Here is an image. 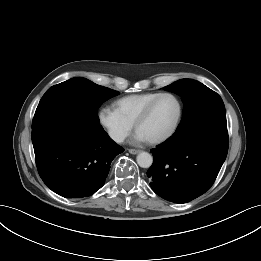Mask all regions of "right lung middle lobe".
<instances>
[{
  "instance_id": "right-lung-middle-lobe-1",
  "label": "right lung middle lobe",
  "mask_w": 261,
  "mask_h": 261,
  "mask_svg": "<svg viewBox=\"0 0 261 261\" xmlns=\"http://www.w3.org/2000/svg\"><path fill=\"white\" fill-rule=\"evenodd\" d=\"M119 92L77 77L54 85L41 98L32 126L46 119L67 116L99 124L98 108Z\"/></svg>"
}]
</instances>
